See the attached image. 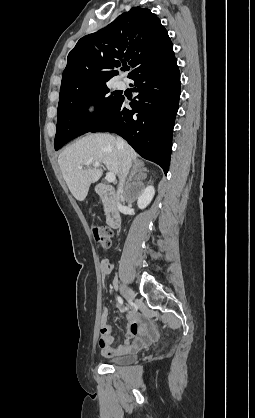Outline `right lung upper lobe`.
<instances>
[{
	"mask_svg": "<svg viewBox=\"0 0 255 418\" xmlns=\"http://www.w3.org/2000/svg\"><path fill=\"white\" fill-rule=\"evenodd\" d=\"M174 56L173 44L157 16L133 7L103 29L81 38L69 52L60 93L106 83L129 62L128 78Z\"/></svg>",
	"mask_w": 255,
	"mask_h": 418,
	"instance_id": "right-lung-upper-lobe-1",
	"label": "right lung upper lobe"
}]
</instances>
